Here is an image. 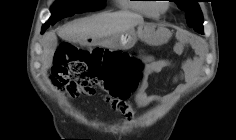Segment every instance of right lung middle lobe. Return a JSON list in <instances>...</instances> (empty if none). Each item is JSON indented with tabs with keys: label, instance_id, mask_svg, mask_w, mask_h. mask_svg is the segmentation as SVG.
I'll list each match as a JSON object with an SVG mask.
<instances>
[{
	"label": "right lung middle lobe",
	"instance_id": "dd1d6c3e",
	"mask_svg": "<svg viewBox=\"0 0 236 140\" xmlns=\"http://www.w3.org/2000/svg\"><path fill=\"white\" fill-rule=\"evenodd\" d=\"M104 0H56L51 7V17L42 29H47L62 18L82 13L91 9L101 8Z\"/></svg>",
	"mask_w": 236,
	"mask_h": 140
}]
</instances>
